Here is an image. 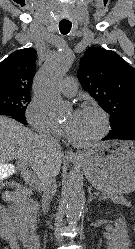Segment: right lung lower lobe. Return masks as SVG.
<instances>
[{
  "instance_id": "1",
  "label": "right lung lower lobe",
  "mask_w": 135,
  "mask_h": 249,
  "mask_svg": "<svg viewBox=\"0 0 135 249\" xmlns=\"http://www.w3.org/2000/svg\"><path fill=\"white\" fill-rule=\"evenodd\" d=\"M0 115H6V116H10L16 120H18L19 122H21L22 124H25L27 125V121L24 117H21L11 111H8V110H0Z\"/></svg>"
}]
</instances>
